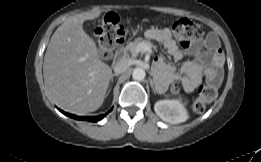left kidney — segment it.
Listing matches in <instances>:
<instances>
[{
    "label": "left kidney",
    "instance_id": "5707ae66",
    "mask_svg": "<svg viewBox=\"0 0 261 162\" xmlns=\"http://www.w3.org/2000/svg\"><path fill=\"white\" fill-rule=\"evenodd\" d=\"M154 110L162 120L171 124L185 122L189 117L187 109L177 99L158 101Z\"/></svg>",
    "mask_w": 261,
    "mask_h": 162
}]
</instances>
